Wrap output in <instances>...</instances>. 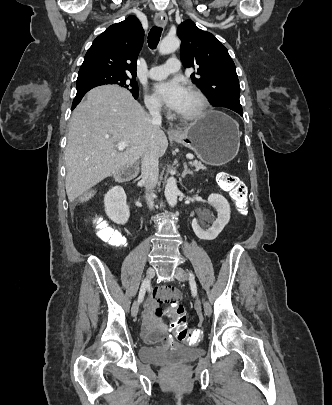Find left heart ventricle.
I'll use <instances>...</instances> for the list:
<instances>
[{
  "label": "left heart ventricle",
  "mask_w": 332,
  "mask_h": 405,
  "mask_svg": "<svg viewBox=\"0 0 332 405\" xmlns=\"http://www.w3.org/2000/svg\"><path fill=\"white\" fill-rule=\"evenodd\" d=\"M198 106L199 102L197 98L192 93L186 90L183 102L176 113L181 116H188L193 114L197 110Z\"/></svg>",
  "instance_id": "1"
}]
</instances>
